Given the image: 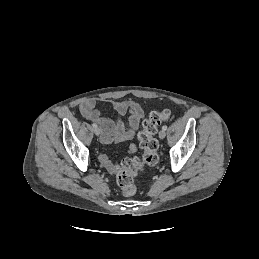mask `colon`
Listing matches in <instances>:
<instances>
[{"label":"colon","instance_id":"1","mask_svg":"<svg viewBox=\"0 0 259 259\" xmlns=\"http://www.w3.org/2000/svg\"><path fill=\"white\" fill-rule=\"evenodd\" d=\"M171 113L168 109L152 111L142 123V130L138 134L142 156L124 159L118 166L116 182L125 196H132L136 192L135 178L148 166H155L159 161L158 141L155 134L161 123L169 121Z\"/></svg>","mask_w":259,"mask_h":259}]
</instances>
